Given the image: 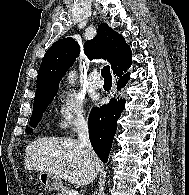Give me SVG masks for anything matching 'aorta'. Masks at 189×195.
I'll use <instances>...</instances> for the list:
<instances>
[{
    "label": "aorta",
    "mask_w": 189,
    "mask_h": 195,
    "mask_svg": "<svg viewBox=\"0 0 189 195\" xmlns=\"http://www.w3.org/2000/svg\"><path fill=\"white\" fill-rule=\"evenodd\" d=\"M68 79H69V82H70V83L74 84V82H75V80H76V73H75V72H71V73L69 74Z\"/></svg>",
    "instance_id": "aorta-1"
}]
</instances>
